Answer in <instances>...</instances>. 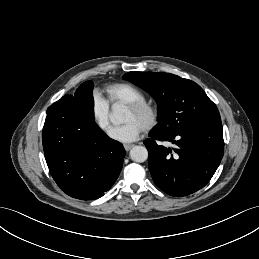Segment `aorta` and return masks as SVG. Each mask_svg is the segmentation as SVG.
<instances>
[{"instance_id": "obj_1", "label": "aorta", "mask_w": 259, "mask_h": 259, "mask_svg": "<svg viewBox=\"0 0 259 259\" xmlns=\"http://www.w3.org/2000/svg\"><path fill=\"white\" fill-rule=\"evenodd\" d=\"M113 113L111 115V121L114 124H117L120 122V117H121V108L119 105L114 104L112 106ZM130 157L133 161L142 163L147 160L148 158V151L144 146H134L130 150Z\"/></svg>"}]
</instances>
